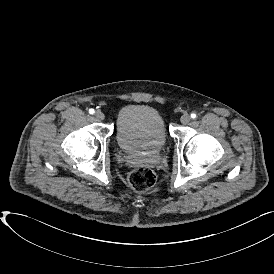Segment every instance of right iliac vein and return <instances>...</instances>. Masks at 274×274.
<instances>
[{
    "mask_svg": "<svg viewBox=\"0 0 274 274\" xmlns=\"http://www.w3.org/2000/svg\"><path fill=\"white\" fill-rule=\"evenodd\" d=\"M94 117H95V119H96L97 121H102V120H104L105 115H104V113H103L102 111L97 110V111L95 112V114H94Z\"/></svg>",
    "mask_w": 274,
    "mask_h": 274,
    "instance_id": "right-iliac-vein-1",
    "label": "right iliac vein"
}]
</instances>
